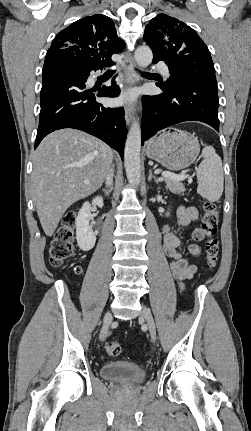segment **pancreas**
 I'll return each instance as SVG.
<instances>
[{
  "label": "pancreas",
  "instance_id": "1",
  "mask_svg": "<svg viewBox=\"0 0 251 431\" xmlns=\"http://www.w3.org/2000/svg\"><path fill=\"white\" fill-rule=\"evenodd\" d=\"M164 181L166 183V188L169 189L172 193L181 194L185 192V186L180 181L173 180L170 178H165Z\"/></svg>",
  "mask_w": 251,
  "mask_h": 431
}]
</instances>
